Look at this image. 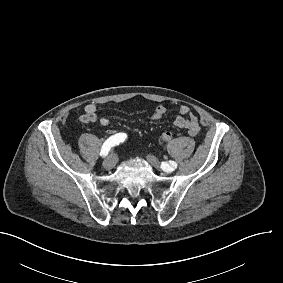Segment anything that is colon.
<instances>
[{
  "mask_svg": "<svg viewBox=\"0 0 283 283\" xmlns=\"http://www.w3.org/2000/svg\"><path fill=\"white\" fill-rule=\"evenodd\" d=\"M172 138H173V132L172 131H170V130L164 131L160 136L159 143L161 145H165V144L169 143L170 140H172Z\"/></svg>",
  "mask_w": 283,
  "mask_h": 283,
  "instance_id": "5ec220e1",
  "label": "colon"
}]
</instances>
